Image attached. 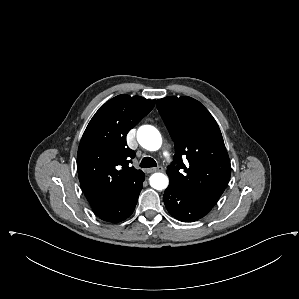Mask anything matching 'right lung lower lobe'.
<instances>
[{"label": "right lung lower lobe", "instance_id": "1", "mask_svg": "<svg viewBox=\"0 0 299 299\" xmlns=\"http://www.w3.org/2000/svg\"><path fill=\"white\" fill-rule=\"evenodd\" d=\"M145 179L144 174L129 189L123 197H121L115 204L97 216L111 223H117L128 218L134 211L140 191L142 190V183Z\"/></svg>", "mask_w": 299, "mask_h": 299}]
</instances>
